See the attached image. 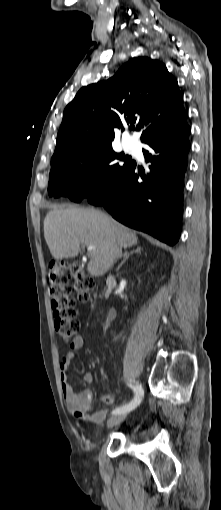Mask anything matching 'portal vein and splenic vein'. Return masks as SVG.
Masks as SVG:
<instances>
[{
	"label": "portal vein and splenic vein",
	"instance_id": "portal-vein-and-splenic-vein-1",
	"mask_svg": "<svg viewBox=\"0 0 221 510\" xmlns=\"http://www.w3.org/2000/svg\"><path fill=\"white\" fill-rule=\"evenodd\" d=\"M91 250H93V248H92V247H89V248H88V251H91Z\"/></svg>",
	"mask_w": 221,
	"mask_h": 510
}]
</instances>
